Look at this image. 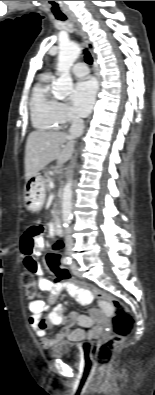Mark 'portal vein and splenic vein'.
<instances>
[{
	"label": "portal vein and splenic vein",
	"mask_w": 155,
	"mask_h": 395,
	"mask_svg": "<svg viewBox=\"0 0 155 395\" xmlns=\"http://www.w3.org/2000/svg\"><path fill=\"white\" fill-rule=\"evenodd\" d=\"M49 186H50V188H54V183L51 181V182L49 183Z\"/></svg>",
	"instance_id": "portal-vein-and-splenic-vein-1"
}]
</instances>
